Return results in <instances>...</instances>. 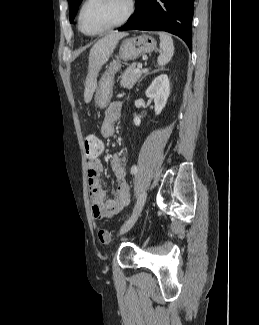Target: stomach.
Masks as SVG:
<instances>
[{"instance_id": "obj_1", "label": "stomach", "mask_w": 259, "mask_h": 325, "mask_svg": "<svg viewBox=\"0 0 259 325\" xmlns=\"http://www.w3.org/2000/svg\"><path fill=\"white\" fill-rule=\"evenodd\" d=\"M156 48V41L149 35H140L122 41L119 49V59L123 61L135 60L145 53ZM120 60L110 64L108 70L102 75L96 90L95 102L99 108H105L111 99L114 75L121 68Z\"/></svg>"}]
</instances>
